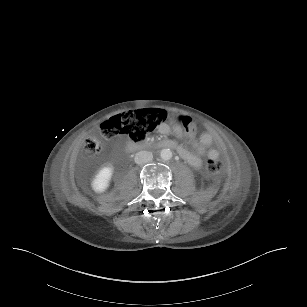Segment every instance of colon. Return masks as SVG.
Returning <instances> with one entry per match:
<instances>
[{
	"label": "colon",
	"instance_id": "obj_1",
	"mask_svg": "<svg viewBox=\"0 0 307 307\" xmlns=\"http://www.w3.org/2000/svg\"><path fill=\"white\" fill-rule=\"evenodd\" d=\"M166 112L162 109L136 110L123 115L114 116L105 121L99 128L101 136L105 139L126 137L132 141H142L165 119ZM178 123L189 138L197 133V125L189 116L180 114ZM102 140L92 137L85 140L83 155L92 158L100 151ZM223 169V162L219 158H210L206 163V170L210 175L219 174Z\"/></svg>",
	"mask_w": 307,
	"mask_h": 307
}]
</instances>
